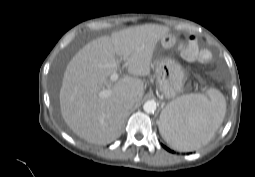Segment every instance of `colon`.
Here are the masks:
<instances>
[{
	"mask_svg": "<svg viewBox=\"0 0 255 177\" xmlns=\"http://www.w3.org/2000/svg\"><path fill=\"white\" fill-rule=\"evenodd\" d=\"M178 45L181 55L188 61H198L200 63H209L212 60V53L207 49H199L197 38L190 35L185 43H177L174 38H169L166 45Z\"/></svg>",
	"mask_w": 255,
	"mask_h": 177,
	"instance_id": "1",
	"label": "colon"
}]
</instances>
